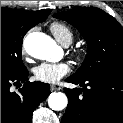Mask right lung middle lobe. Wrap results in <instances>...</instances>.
I'll list each match as a JSON object with an SVG mask.
<instances>
[{"instance_id":"right-lung-middle-lobe-1","label":"right lung middle lobe","mask_w":123,"mask_h":123,"mask_svg":"<svg viewBox=\"0 0 123 123\" xmlns=\"http://www.w3.org/2000/svg\"><path fill=\"white\" fill-rule=\"evenodd\" d=\"M43 18L21 16L15 9L1 8V75L19 74L26 67L22 62V40L27 31Z\"/></svg>"}]
</instances>
